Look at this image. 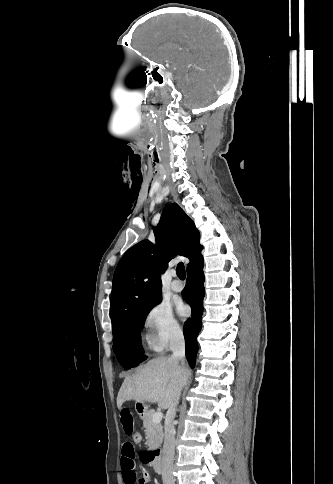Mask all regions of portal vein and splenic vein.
Listing matches in <instances>:
<instances>
[{
  "instance_id": "1",
  "label": "portal vein and splenic vein",
  "mask_w": 333,
  "mask_h": 484,
  "mask_svg": "<svg viewBox=\"0 0 333 484\" xmlns=\"http://www.w3.org/2000/svg\"><path fill=\"white\" fill-rule=\"evenodd\" d=\"M162 418H163V413L161 411H158V412L153 414L152 421L154 423H160Z\"/></svg>"
}]
</instances>
